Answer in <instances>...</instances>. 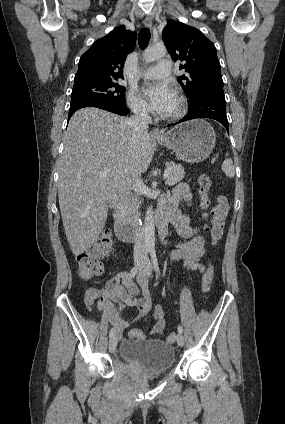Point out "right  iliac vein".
<instances>
[{
  "mask_svg": "<svg viewBox=\"0 0 285 424\" xmlns=\"http://www.w3.org/2000/svg\"><path fill=\"white\" fill-rule=\"evenodd\" d=\"M140 261H141V258L140 257H137L136 260H135L136 266L140 267V264H139ZM116 346H117V337L116 336H113V337H111V339L109 341V351L111 353H114V351L116 349Z\"/></svg>",
  "mask_w": 285,
  "mask_h": 424,
  "instance_id": "right-iliac-vein-1",
  "label": "right iliac vein"
}]
</instances>
